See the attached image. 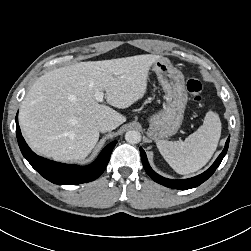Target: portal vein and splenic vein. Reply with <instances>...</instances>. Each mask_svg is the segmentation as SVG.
<instances>
[{
  "mask_svg": "<svg viewBox=\"0 0 251 251\" xmlns=\"http://www.w3.org/2000/svg\"><path fill=\"white\" fill-rule=\"evenodd\" d=\"M103 97H104L103 91L97 92V93L95 94V99H96L98 102H102V101H103Z\"/></svg>",
  "mask_w": 251,
  "mask_h": 251,
  "instance_id": "1",
  "label": "portal vein and splenic vein"
}]
</instances>
